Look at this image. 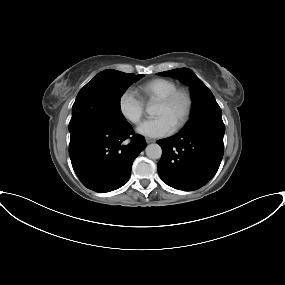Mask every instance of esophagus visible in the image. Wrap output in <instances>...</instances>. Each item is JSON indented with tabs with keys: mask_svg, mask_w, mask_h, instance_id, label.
Returning <instances> with one entry per match:
<instances>
[{
	"mask_svg": "<svg viewBox=\"0 0 285 285\" xmlns=\"http://www.w3.org/2000/svg\"><path fill=\"white\" fill-rule=\"evenodd\" d=\"M146 142L147 143H153V142H155V140L147 137L146 138Z\"/></svg>",
	"mask_w": 285,
	"mask_h": 285,
	"instance_id": "esophagus-1",
	"label": "esophagus"
}]
</instances>
